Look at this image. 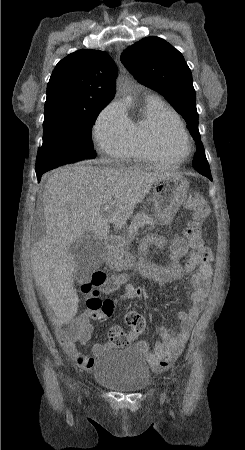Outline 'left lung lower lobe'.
Wrapping results in <instances>:
<instances>
[{"label": "left lung lower lobe", "instance_id": "0a47b994", "mask_svg": "<svg viewBox=\"0 0 245 450\" xmlns=\"http://www.w3.org/2000/svg\"><path fill=\"white\" fill-rule=\"evenodd\" d=\"M196 152H197V154H199V155H204V148L201 146V147H198L197 148V150H196ZM202 175H204V176H206V177H208L210 180H212V176H211V173L210 172H203V173H201Z\"/></svg>", "mask_w": 245, "mask_h": 450}]
</instances>
